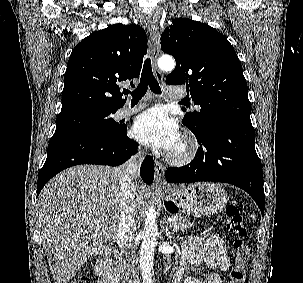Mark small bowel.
Wrapping results in <instances>:
<instances>
[{
    "label": "small bowel",
    "instance_id": "c3829d8e",
    "mask_svg": "<svg viewBox=\"0 0 303 283\" xmlns=\"http://www.w3.org/2000/svg\"><path fill=\"white\" fill-rule=\"evenodd\" d=\"M183 258L174 274L177 281L187 264H204L208 268L227 270L229 268V257L225 241L216 235L206 237H189L183 241ZM101 279L99 283H109L107 274L97 268ZM184 283H222L219 274L209 275L205 281L188 279Z\"/></svg>",
    "mask_w": 303,
    "mask_h": 283
}]
</instances>
